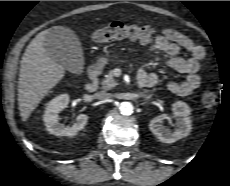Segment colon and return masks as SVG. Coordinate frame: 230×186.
<instances>
[{
  "label": "colon",
  "mask_w": 230,
  "mask_h": 186,
  "mask_svg": "<svg viewBox=\"0 0 230 186\" xmlns=\"http://www.w3.org/2000/svg\"><path fill=\"white\" fill-rule=\"evenodd\" d=\"M156 29L152 26H138L115 21L110 25L97 29L90 34L93 42L103 43L120 39H134L143 44H149L155 37ZM218 102L217 93L209 88L202 94V104L206 108H213Z\"/></svg>",
  "instance_id": "obj_1"
}]
</instances>
